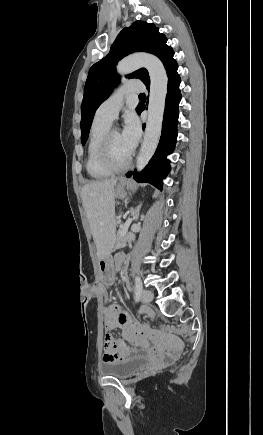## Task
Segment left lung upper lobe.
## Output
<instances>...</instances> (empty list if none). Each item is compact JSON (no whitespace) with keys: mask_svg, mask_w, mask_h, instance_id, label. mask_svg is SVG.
Here are the masks:
<instances>
[{"mask_svg":"<svg viewBox=\"0 0 263 435\" xmlns=\"http://www.w3.org/2000/svg\"><path fill=\"white\" fill-rule=\"evenodd\" d=\"M167 38L159 33L154 24L136 21L130 27L124 28L117 36L110 52L89 70L84 87V97L81 106V142L84 145L88 139L89 129L100 104L108 98L118 83L115 66L119 60L133 52H148L156 55L163 62L165 69L174 60V51L166 45ZM138 78L146 86L150 85L148 71L141 68L127 76ZM141 105H138L139 112Z\"/></svg>","mask_w":263,"mask_h":435,"instance_id":"1","label":"left lung upper lobe"}]
</instances>
